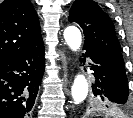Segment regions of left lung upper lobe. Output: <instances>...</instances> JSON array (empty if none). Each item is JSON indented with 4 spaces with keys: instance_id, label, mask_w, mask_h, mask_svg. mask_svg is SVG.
Masks as SVG:
<instances>
[{
    "instance_id": "left-lung-upper-lobe-1",
    "label": "left lung upper lobe",
    "mask_w": 133,
    "mask_h": 118,
    "mask_svg": "<svg viewBox=\"0 0 133 118\" xmlns=\"http://www.w3.org/2000/svg\"><path fill=\"white\" fill-rule=\"evenodd\" d=\"M68 19L69 22L78 23L83 29L84 46L97 48L111 60L125 67L114 24L96 2L76 0L70 9ZM96 103L103 110H116L115 106L104 99H98Z\"/></svg>"
}]
</instances>
